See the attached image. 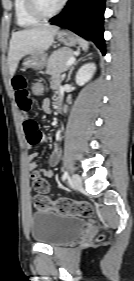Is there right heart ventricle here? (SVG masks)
<instances>
[{
  "mask_svg": "<svg viewBox=\"0 0 134 281\" xmlns=\"http://www.w3.org/2000/svg\"><path fill=\"white\" fill-rule=\"evenodd\" d=\"M14 14L17 24L23 28L35 26L40 21L28 11L26 0H14Z\"/></svg>",
  "mask_w": 134,
  "mask_h": 281,
  "instance_id": "e07e8e85",
  "label": "right heart ventricle"
}]
</instances>
